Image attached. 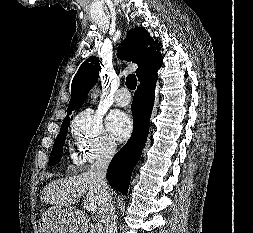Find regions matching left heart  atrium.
<instances>
[{"instance_id": "1", "label": "left heart atrium", "mask_w": 253, "mask_h": 233, "mask_svg": "<svg viewBox=\"0 0 253 233\" xmlns=\"http://www.w3.org/2000/svg\"><path fill=\"white\" fill-rule=\"evenodd\" d=\"M107 129L117 141H124L132 131L131 119L123 112L113 111L107 117Z\"/></svg>"}]
</instances>
